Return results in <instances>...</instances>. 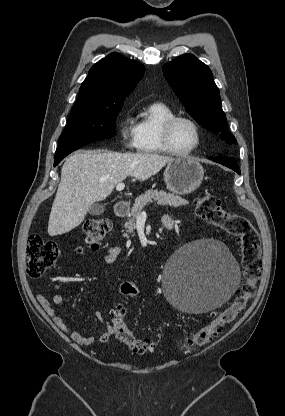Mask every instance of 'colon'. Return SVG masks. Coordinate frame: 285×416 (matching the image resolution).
Masks as SVG:
<instances>
[{"label":"colon","instance_id":"obj_1","mask_svg":"<svg viewBox=\"0 0 285 416\" xmlns=\"http://www.w3.org/2000/svg\"><path fill=\"white\" fill-rule=\"evenodd\" d=\"M198 217L220 228L240 242L243 279L232 301L221 312L215 314L211 322L189 334L186 346H202L218 337L225 326L232 323L249 300L253 297L256 284L261 275V242L257 230L243 216L225 210L218 197L206 194L195 202ZM111 230L106 219H89L83 224L86 243L92 249L100 247ZM27 273L31 277H40L60 259V250L52 242L40 235H30L27 243ZM138 287L132 282H124L120 293L125 297L138 295ZM128 310L123 304L116 305L110 312V320L117 339L137 353L151 351L153 344L148 339L138 337L127 323Z\"/></svg>","mask_w":285,"mask_h":416}]
</instances>
